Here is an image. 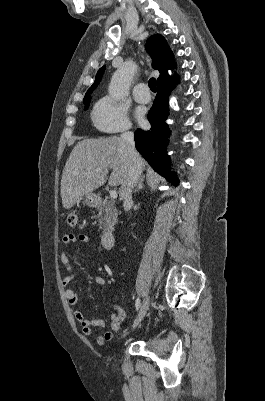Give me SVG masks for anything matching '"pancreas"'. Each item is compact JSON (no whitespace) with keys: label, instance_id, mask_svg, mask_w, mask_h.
<instances>
[{"label":"pancreas","instance_id":"cf45deb5","mask_svg":"<svg viewBox=\"0 0 265 401\" xmlns=\"http://www.w3.org/2000/svg\"><path fill=\"white\" fill-rule=\"evenodd\" d=\"M96 211H98L96 217H98L100 229H114L118 217L114 201H111V198H104L102 205L96 207Z\"/></svg>","mask_w":265,"mask_h":401}]
</instances>
